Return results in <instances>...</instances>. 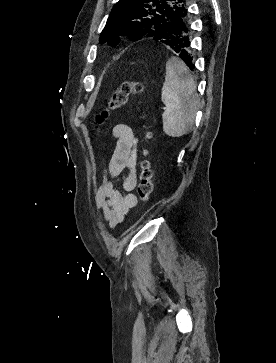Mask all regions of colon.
<instances>
[{"label":"colon","mask_w":276,"mask_h":363,"mask_svg":"<svg viewBox=\"0 0 276 363\" xmlns=\"http://www.w3.org/2000/svg\"><path fill=\"white\" fill-rule=\"evenodd\" d=\"M144 90L142 83L138 81H125L113 91L108 102V109L97 116V123H102L108 118L109 110L124 108L132 94H140ZM150 135L147 134V137ZM146 155V150L143 151ZM138 197L142 202H147L153 192L152 170L149 162L142 159L140 162Z\"/></svg>","instance_id":"5ec220e1"}]
</instances>
